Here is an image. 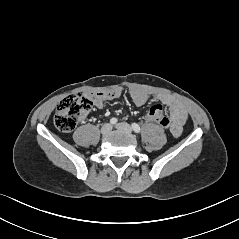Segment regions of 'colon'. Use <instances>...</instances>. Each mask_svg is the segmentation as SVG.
<instances>
[{"instance_id": "5ec220e1", "label": "colon", "mask_w": 239, "mask_h": 239, "mask_svg": "<svg viewBox=\"0 0 239 239\" xmlns=\"http://www.w3.org/2000/svg\"><path fill=\"white\" fill-rule=\"evenodd\" d=\"M91 109L92 101L87 96L73 94L65 97L59 103L54 116L56 128L63 133L72 132L76 125L90 113ZM165 113L164 106L154 103L150 105L145 115V123L147 125L166 126L168 120Z\"/></svg>"}]
</instances>
